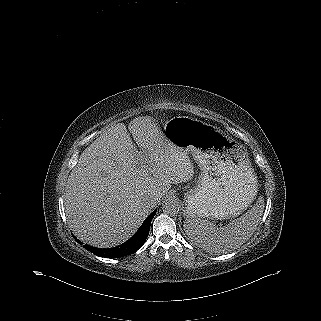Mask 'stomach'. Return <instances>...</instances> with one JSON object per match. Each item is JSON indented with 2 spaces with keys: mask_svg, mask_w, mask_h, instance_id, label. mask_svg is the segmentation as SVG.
Instances as JSON below:
<instances>
[{
  "mask_svg": "<svg viewBox=\"0 0 321 321\" xmlns=\"http://www.w3.org/2000/svg\"><path fill=\"white\" fill-rule=\"evenodd\" d=\"M167 141L192 154L201 173L185 193L187 218L225 219L243 212L257 192L247 153L222 130L188 116L173 117L163 127Z\"/></svg>",
  "mask_w": 321,
  "mask_h": 321,
  "instance_id": "obj_1",
  "label": "stomach"
}]
</instances>
